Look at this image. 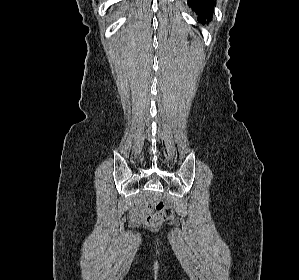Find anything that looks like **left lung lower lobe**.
Returning a JSON list of instances; mask_svg holds the SVG:
<instances>
[{
    "label": "left lung lower lobe",
    "mask_w": 299,
    "mask_h": 280,
    "mask_svg": "<svg viewBox=\"0 0 299 280\" xmlns=\"http://www.w3.org/2000/svg\"><path fill=\"white\" fill-rule=\"evenodd\" d=\"M188 4L198 15V21L203 25L210 22L213 14V6L216 5L214 0H188Z\"/></svg>",
    "instance_id": "obj_1"
}]
</instances>
